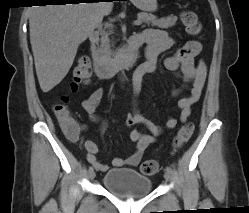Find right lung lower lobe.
<instances>
[{
	"label": "right lung lower lobe",
	"instance_id": "obj_1",
	"mask_svg": "<svg viewBox=\"0 0 249 213\" xmlns=\"http://www.w3.org/2000/svg\"><path fill=\"white\" fill-rule=\"evenodd\" d=\"M45 2H48V3H55V4H66V3H78L82 0H43ZM107 1H113V0H107ZM45 2H42V3H45ZM47 4V3H46Z\"/></svg>",
	"mask_w": 249,
	"mask_h": 213
}]
</instances>
